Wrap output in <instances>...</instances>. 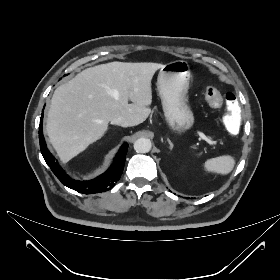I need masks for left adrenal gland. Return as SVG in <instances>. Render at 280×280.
Listing matches in <instances>:
<instances>
[{
	"mask_svg": "<svg viewBox=\"0 0 280 280\" xmlns=\"http://www.w3.org/2000/svg\"><path fill=\"white\" fill-rule=\"evenodd\" d=\"M167 141H168V143H169V145H170V146H169L170 149L172 150V149H173V146H174L173 143L171 142V140H170L169 138L167 139Z\"/></svg>",
	"mask_w": 280,
	"mask_h": 280,
	"instance_id": "obj_1",
	"label": "left adrenal gland"
}]
</instances>
